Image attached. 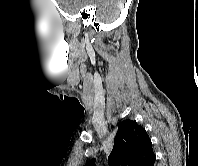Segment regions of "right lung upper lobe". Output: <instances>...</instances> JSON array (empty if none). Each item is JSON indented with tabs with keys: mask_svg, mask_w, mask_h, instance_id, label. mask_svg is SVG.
Segmentation results:
<instances>
[{
	"mask_svg": "<svg viewBox=\"0 0 198 166\" xmlns=\"http://www.w3.org/2000/svg\"><path fill=\"white\" fill-rule=\"evenodd\" d=\"M154 155L145 129L136 121L125 120L118 126L114 146L108 158L109 166H145ZM85 166H95V159Z\"/></svg>",
	"mask_w": 198,
	"mask_h": 166,
	"instance_id": "right-lung-upper-lobe-1",
	"label": "right lung upper lobe"
}]
</instances>
